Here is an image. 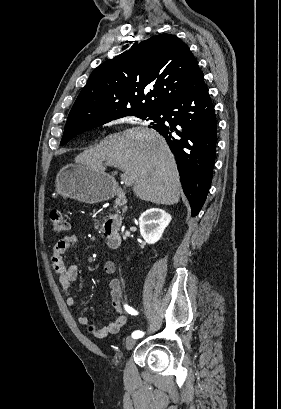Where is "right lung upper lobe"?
<instances>
[{
  "mask_svg": "<svg viewBox=\"0 0 281 409\" xmlns=\"http://www.w3.org/2000/svg\"><path fill=\"white\" fill-rule=\"evenodd\" d=\"M202 71L177 36H153L98 66L76 99L65 128L84 127L124 112H158Z\"/></svg>",
  "mask_w": 281,
  "mask_h": 409,
  "instance_id": "1",
  "label": "right lung upper lobe"
}]
</instances>
